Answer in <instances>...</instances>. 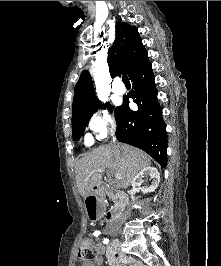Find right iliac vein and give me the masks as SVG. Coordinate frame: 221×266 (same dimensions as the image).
<instances>
[{
    "label": "right iliac vein",
    "mask_w": 221,
    "mask_h": 266,
    "mask_svg": "<svg viewBox=\"0 0 221 266\" xmlns=\"http://www.w3.org/2000/svg\"><path fill=\"white\" fill-rule=\"evenodd\" d=\"M118 245H119V242L117 240L114 241V247H118Z\"/></svg>",
    "instance_id": "63e3f726"
}]
</instances>
